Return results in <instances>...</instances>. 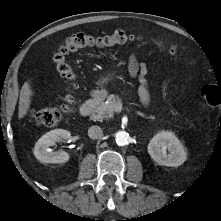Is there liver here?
Returning a JSON list of instances; mask_svg holds the SVG:
<instances>
[{
  "mask_svg": "<svg viewBox=\"0 0 221 221\" xmlns=\"http://www.w3.org/2000/svg\"><path fill=\"white\" fill-rule=\"evenodd\" d=\"M32 96H33V91L31 89L30 82L27 81L24 83L20 91L19 111H18L19 119H22L28 113Z\"/></svg>",
  "mask_w": 221,
  "mask_h": 221,
  "instance_id": "obj_1",
  "label": "liver"
}]
</instances>
